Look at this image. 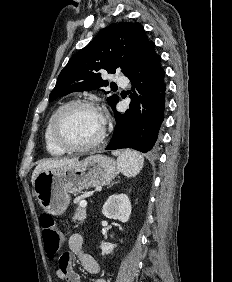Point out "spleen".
Listing matches in <instances>:
<instances>
[{
	"instance_id": "1",
	"label": "spleen",
	"mask_w": 232,
	"mask_h": 282,
	"mask_svg": "<svg viewBox=\"0 0 232 282\" xmlns=\"http://www.w3.org/2000/svg\"><path fill=\"white\" fill-rule=\"evenodd\" d=\"M113 155L117 156L118 167L125 176H135L143 167L144 158L136 151H115Z\"/></svg>"
}]
</instances>
